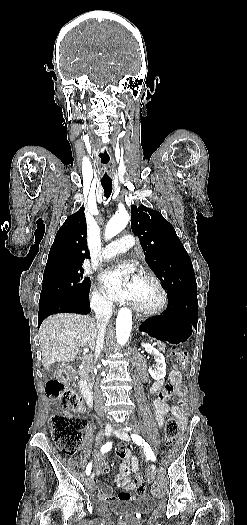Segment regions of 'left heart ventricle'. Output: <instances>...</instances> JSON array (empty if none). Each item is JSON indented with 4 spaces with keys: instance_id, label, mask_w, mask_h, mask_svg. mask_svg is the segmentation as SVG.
<instances>
[{
    "instance_id": "left-heart-ventricle-1",
    "label": "left heart ventricle",
    "mask_w": 247,
    "mask_h": 525,
    "mask_svg": "<svg viewBox=\"0 0 247 525\" xmlns=\"http://www.w3.org/2000/svg\"><path fill=\"white\" fill-rule=\"evenodd\" d=\"M117 268L121 271L134 270L135 262L131 255H122L117 262ZM140 289L135 300L144 304H156L161 299V293L154 282L149 278H139Z\"/></svg>"
}]
</instances>
